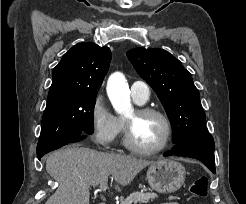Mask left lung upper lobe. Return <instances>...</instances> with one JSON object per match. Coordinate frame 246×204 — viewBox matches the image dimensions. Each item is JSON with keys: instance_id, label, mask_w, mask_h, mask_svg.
Here are the masks:
<instances>
[{"instance_id": "1", "label": "left lung upper lobe", "mask_w": 246, "mask_h": 204, "mask_svg": "<svg viewBox=\"0 0 246 204\" xmlns=\"http://www.w3.org/2000/svg\"><path fill=\"white\" fill-rule=\"evenodd\" d=\"M127 56L163 104L173 128V143L208 132L199 91L178 59L162 49L135 48Z\"/></svg>"}]
</instances>
